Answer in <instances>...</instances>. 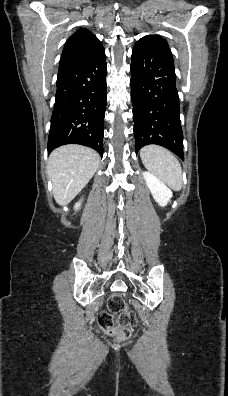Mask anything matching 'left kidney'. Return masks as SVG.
Segmentation results:
<instances>
[{
    "label": "left kidney",
    "mask_w": 228,
    "mask_h": 396,
    "mask_svg": "<svg viewBox=\"0 0 228 396\" xmlns=\"http://www.w3.org/2000/svg\"><path fill=\"white\" fill-rule=\"evenodd\" d=\"M143 177L155 201L162 207L166 206L173 196L172 191L150 172H143Z\"/></svg>",
    "instance_id": "left-kidney-1"
}]
</instances>
